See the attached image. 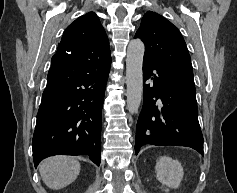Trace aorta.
<instances>
[{"mask_svg":"<svg viewBox=\"0 0 237 193\" xmlns=\"http://www.w3.org/2000/svg\"><path fill=\"white\" fill-rule=\"evenodd\" d=\"M144 52L145 46L140 39L130 41L126 58L127 109L130 114L138 111L142 100Z\"/></svg>","mask_w":237,"mask_h":193,"instance_id":"762f6f07","label":"aorta"}]
</instances>
